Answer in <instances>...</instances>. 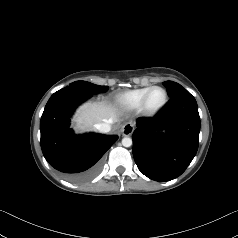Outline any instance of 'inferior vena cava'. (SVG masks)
<instances>
[{"instance_id": "obj_1", "label": "inferior vena cava", "mask_w": 238, "mask_h": 238, "mask_svg": "<svg viewBox=\"0 0 238 238\" xmlns=\"http://www.w3.org/2000/svg\"><path fill=\"white\" fill-rule=\"evenodd\" d=\"M95 128L101 133H107L111 130V126L109 122H103L95 125Z\"/></svg>"}]
</instances>
